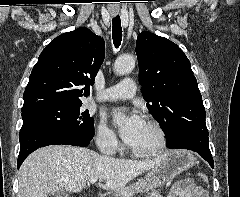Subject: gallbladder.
<instances>
[{
    "mask_svg": "<svg viewBox=\"0 0 240 197\" xmlns=\"http://www.w3.org/2000/svg\"><path fill=\"white\" fill-rule=\"evenodd\" d=\"M53 197H69L64 191H55L52 193Z\"/></svg>",
    "mask_w": 240,
    "mask_h": 197,
    "instance_id": "1",
    "label": "gallbladder"
}]
</instances>
